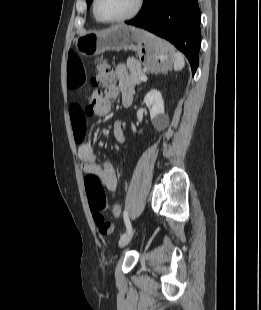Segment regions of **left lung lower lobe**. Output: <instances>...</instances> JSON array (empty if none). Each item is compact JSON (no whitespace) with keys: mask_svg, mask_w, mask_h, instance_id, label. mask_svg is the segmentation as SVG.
<instances>
[{"mask_svg":"<svg viewBox=\"0 0 261 310\" xmlns=\"http://www.w3.org/2000/svg\"><path fill=\"white\" fill-rule=\"evenodd\" d=\"M126 23L170 41L186 55L195 74L201 43L197 0H144L136 18Z\"/></svg>","mask_w":261,"mask_h":310,"instance_id":"1","label":"left lung lower lobe"}]
</instances>
